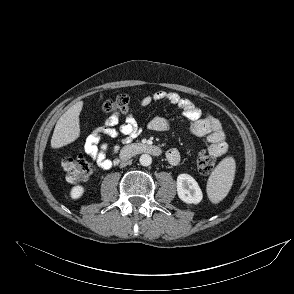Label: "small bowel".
Wrapping results in <instances>:
<instances>
[{
    "label": "small bowel",
    "instance_id": "1",
    "mask_svg": "<svg viewBox=\"0 0 294 294\" xmlns=\"http://www.w3.org/2000/svg\"><path fill=\"white\" fill-rule=\"evenodd\" d=\"M161 101L169 102L181 110L188 120L189 131L206 139L209 143L208 151L214 157H219L227 152L226 132L221 122L210 113L203 114L190 100L181 97L177 93L158 91L141 99L140 106H148ZM118 122V115H111L102 126L92 131L84 144V152L105 170L110 169L118 162L117 157L114 159L107 158L106 152L111 150L113 154H117L120 150V145L116 144L110 148L107 143L102 142V138L104 136L116 138L119 134H122L125 135L122 143H127L131 139L138 137L142 132V128L132 114L128 115L119 126H117ZM147 127L151 131L166 132L171 129V124L167 119L155 116L148 122ZM166 158L172 166H178L181 162L180 152L175 148L167 151Z\"/></svg>",
    "mask_w": 294,
    "mask_h": 294
}]
</instances>
